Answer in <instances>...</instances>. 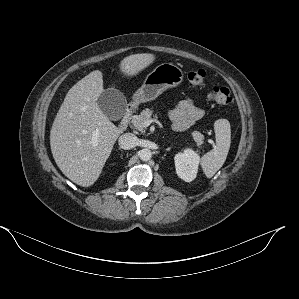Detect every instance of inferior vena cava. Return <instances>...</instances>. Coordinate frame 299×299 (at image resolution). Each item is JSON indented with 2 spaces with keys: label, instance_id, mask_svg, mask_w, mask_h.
I'll return each instance as SVG.
<instances>
[{
  "label": "inferior vena cava",
  "instance_id": "obj_1",
  "mask_svg": "<svg viewBox=\"0 0 299 299\" xmlns=\"http://www.w3.org/2000/svg\"><path fill=\"white\" fill-rule=\"evenodd\" d=\"M119 146L124 150L132 149L137 144V137L132 133H124L119 137Z\"/></svg>",
  "mask_w": 299,
  "mask_h": 299
}]
</instances>
